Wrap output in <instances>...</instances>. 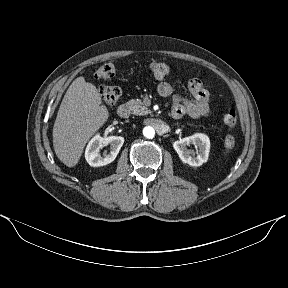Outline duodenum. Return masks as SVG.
Wrapping results in <instances>:
<instances>
[{"label": "duodenum", "instance_id": "410a0bca", "mask_svg": "<svg viewBox=\"0 0 288 288\" xmlns=\"http://www.w3.org/2000/svg\"><path fill=\"white\" fill-rule=\"evenodd\" d=\"M117 113L122 118H127L130 115V108L127 104H121L118 109Z\"/></svg>", "mask_w": 288, "mask_h": 288}]
</instances>
